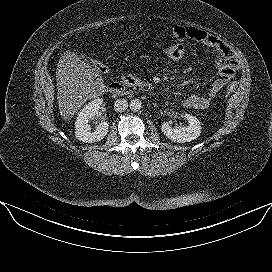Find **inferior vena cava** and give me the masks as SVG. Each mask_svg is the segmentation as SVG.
Instances as JSON below:
<instances>
[{"mask_svg":"<svg viewBox=\"0 0 272 272\" xmlns=\"http://www.w3.org/2000/svg\"><path fill=\"white\" fill-rule=\"evenodd\" d=\"M128 108V102L125 99H117L114 102V110L116 112H124Z\"/></svg>","mask_w":272,"mask_h":272,"instance_id":"obj_1","label":"inferior vena cava"}]
</instances>
